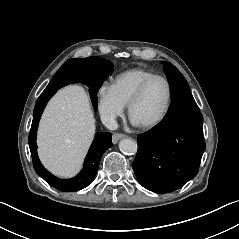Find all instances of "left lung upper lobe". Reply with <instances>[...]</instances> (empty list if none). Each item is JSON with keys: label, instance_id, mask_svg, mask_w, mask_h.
Returning <instances> with one entry per match:
<instances>
[{"label": "left lung upper lobe", "instance_id": "5c2ea615", "mask_svg": "<svg viewBox=\"0 0 239 239\" xmlns=\"http://www.w3.org/2000/svg\"><path fill=\"white\" fill-rule=\"evenodd\" d=\"M164 71L172 88V98L190 92L188 83L180 71L171 63L163 62Z\"/></svg>", "mask_w": 239, "mask_h": 239}]
</instances>
